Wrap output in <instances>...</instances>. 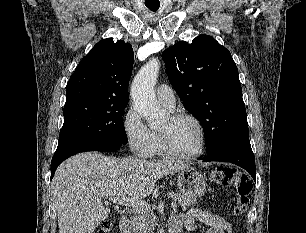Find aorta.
<instances>
[{
  "instance_id": "obj_1",
  "label": "aorta",
  "mask_w": 306,
  "mask_h": 233,
  "mask_svg": "<svg viewBox=\"0 0 306 233\" xmlns=\"http://www.w3.org/2000/svg\"><path fill=\"white\" fill-rule=\"evenodd\" d=\"M160 63L157 59L147 62L134 77L131 85V97L137 111L147 119L151 128L165 121V113L159 108L154 86L157 82Z\"/></svg>"
}]
</instances>
